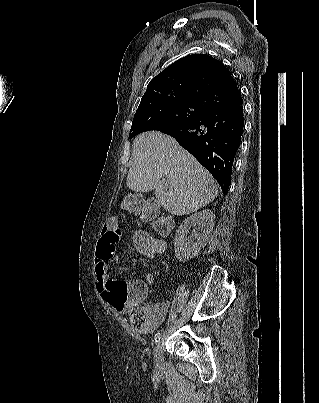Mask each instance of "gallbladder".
I'll return each instance as SVG.
<instances>
[{
    "label": "gallbladder",
    "mask_w": 319,
    "mask_h": 403,
    "mask_svg": "<svg viewBox=\"0 0 319 403\" xmlns=\"http://www.w3.org/2000/svg\"><path fill=\"white\" fill-rule=\"evenodd\" d=\"M150 202H154V200H153V199H150V200L146 201V202L143 204V211L148 212V211L150 210V205H151ZM158 211H159V207L156 206V212H158Z\"/></svg>",
    "instance_id": "obj_1"
}]
</instances>
